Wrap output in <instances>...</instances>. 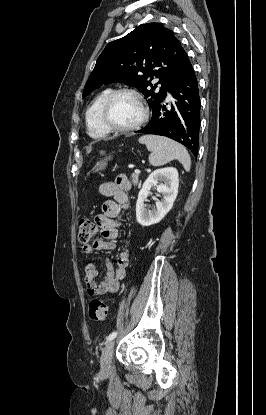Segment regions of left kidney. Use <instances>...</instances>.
<instances>
[{
	"label": "left kidney",
	"instance_id": "1",
	"mask_svg": "<svg viewBox=\"0 0 266 415\" xmlns=\"http://www.w3.org/2000/svg\"><path fill=\"white\" fill-rule=\"evenodd\" d=\"M159 182H163L159 184ZM156 186L163 199L156 202V208L147 210L145 202L150 189ZM178 171L173 167L161 168L153 171L144 182L138 194L136 203V219L142 226H150L159 223L173 207L178 194Z\"/></svg>",
	"mask_w": 266,
	"mask_h": 415
}]
</instances>
